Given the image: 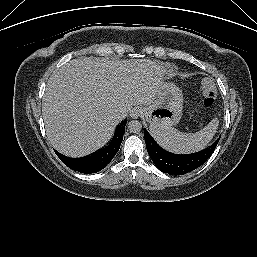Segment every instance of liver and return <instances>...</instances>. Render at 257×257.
I'll return each mask as SVG.
<instances>
[{
  "label": "liver",
  "mask_w": 257,
  "mask_h": 257,
  "mask_svg": "<svg viewBox=\"0 0 257 257\" xmlns=\"http://www.w3.org/2000/svg\"><path fill=\"white\" fill-rule=\"evenodd\" d=\"M165 66L150 59L80 57L49 78L42 103L47 137L69 157L86 156L113 136L119 112L150 105L164 82Z\"/></svg>",
  "instance_id": "obj_1"
}]
</instances>
